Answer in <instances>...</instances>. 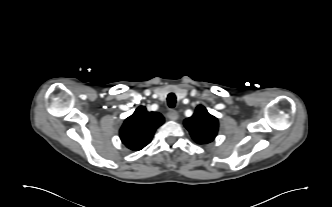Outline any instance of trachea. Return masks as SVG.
I'll return each mask as SVG.
<instances>
[{"label":"trachea","instance_id":"trachea-1","mask_svg":"<svg viewBox=\"0 0 332 207\" xmlns=\"http://www.w3.org/2000/svg\"><path fill=\"white\" fill-rule=\"evenodd\" d=\"M167 104L170 108H174L175 107V104H176V96L174 93H170L168 94V97H167Z\"/></svg>","mask_w":332,"mask_h":207}]
</instances>
